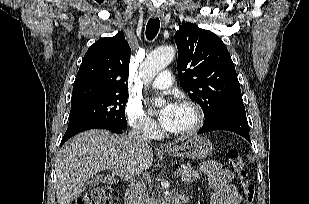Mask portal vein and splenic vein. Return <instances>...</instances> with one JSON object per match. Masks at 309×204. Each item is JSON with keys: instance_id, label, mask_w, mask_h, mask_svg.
<instances>
[{"instance_id": "obj_1", "label": "portal vein and splenic vein", "mask_w": 309, "mask_h": 204, "mask_svg": "<svg viewBox=\"0 0 309 204\" xmlns=\"http://www.w3.org/2000/svg\"><path fill=\"white\" fill-rule=\"evenodd\" d=\"M113 174L118 176V177L125 178V179L131 178V176L127 172L123 171L121 168L113 169ZM178 175H179V172L175 171L174 176H178Z\"/></svg>"}]
</instances>
